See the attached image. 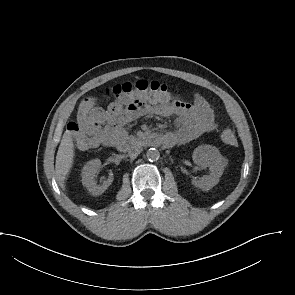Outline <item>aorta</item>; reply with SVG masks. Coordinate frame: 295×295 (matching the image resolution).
<instances>
[{
    "mask_svg": "<svg viewBox=\"0 0 295 295\" xmlns=\"http://www.w3.org/2000/svg\"><path fill=\"white\" fill-rule=\"evenodd\" d=\"M146 156L149 161H157L160 158V152L155 148H150L147 151Z\"/></svg>",
    "mask_w": 295,
    "mask_h": 295,
    "instance_id": "762f6f07",
    "label": "aorta"
}]
</instances>
